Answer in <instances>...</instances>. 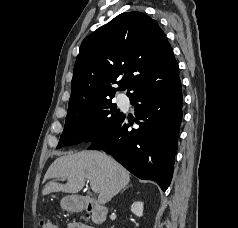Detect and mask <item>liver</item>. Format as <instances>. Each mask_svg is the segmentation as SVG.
<instances>
[{
    "label": "liver",
    "mask_w": 238,
    "mask_h": 228,
    "mask_svg": "<svg viewBox=\"0 0 238 228\" xmlns=\"http://www.w3.org/2000/svg\"><path fill=\"white\" fill-rule=\"evenodd\" d=\"M54 178L67 182H48L42 191L43 195L59 191L78 193L87 180L97 189L98 202L105 204L127 186L130 173L102 152L82 151L58 157L48 168L44 181Z\"/></svg>",
    "instance_id": "1"
}]
</instances>
